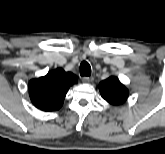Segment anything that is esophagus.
Wrapping results in <instances>:
<instances>
[{
  "label": "esophagus",
  "instance_id": "34e87169",
  "mask_svg": "<svg viewBox=\"0 0 165 154\" xmlns=\"http://www.w3.org/2000/svg\"><path fill=\"white\" fill-rule=\"evenodd\" d=\"M82 81L84 83H91L93 81V78L92 77H88V76H84V77H82Z\"/></svg>",
  "mask_w": 165,
  "mask_h": 154
}]
</instances>
